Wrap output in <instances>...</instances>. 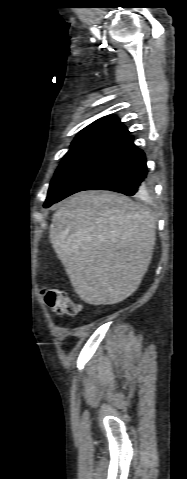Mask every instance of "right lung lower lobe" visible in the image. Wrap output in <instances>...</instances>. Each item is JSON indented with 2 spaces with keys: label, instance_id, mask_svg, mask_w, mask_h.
Wrapping results in <instances>:
<instances>
[{
  "label": "right lung lower lobe",
  "instance_id": "1",
  "mask_svg": "<svg viewBox=\"0 0 187 479\" xmlns=\"http://www.w3.org/2000/svg\"><path fill=\"white\" fill-rule=\"evenodd\" d=\"M83 190H111L142 199L150 196L145 154L134 145L133 136L128 135L79 174L53 203Z\"/></svg>",
  "mask_w": 187,
  "mask_h": 479
}]
</instances>
